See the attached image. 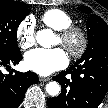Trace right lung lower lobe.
I'll use <instances>...</instances> for the list:
<instances>
[{
  "label": "right lung lower lobe",
  "instance_id": "right-lung-lower-lobe-1",
  "mask_svg": "<svg viewBox=\"0 0 108 108\" xmlns=\"http://www.w3.org/2000/svg\"><path fill=\"white\" fill-rule=\"evenodd\" d=\"M22 60L21 52L15 54H4L0 52V108H17L27 88L38 82L37 74L29 71L21 73L18 71L3 74L1 68L9 67V64H18Z\"/></svg>",
  "mask_w": 108,
  "mask_h": 108
}]
</instances>
